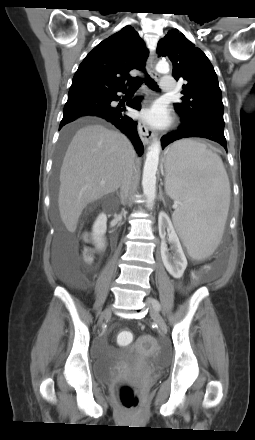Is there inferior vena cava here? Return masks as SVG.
Masks as SVG:
<instances>
[{
    "label": "inferior vena cava",
    "instance_id": "1",
    "mask_svg": "<svg viewBox=\"0 0 255 440\" xmlns=\"http://www.w3.org/2000/svg\"><path fill=\"white\" fill-rule=\"evenodd\" d=\"M133 169H134V163L133 161H129L127 167H126V171H125V176L121 182V191H120V195H121V202L124 204L125 200L127 199V197L129 196L130 192H131V181H132V176H133Z\"/></svg>",
    "mask_w": 255,
    "mask_h": 440
}]
</instances>
